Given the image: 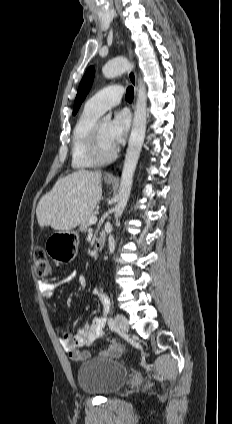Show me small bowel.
<instances>
[{"label":"small bowel","instance_id":"c3829d8e","mask_svg":"<svg viewBox=\"0 0 232 424\" xmlns=\"http://www.w3.org/2000/svg\"><path fill=\"white\" fill-rule=\"evenodd\" d=\"M77 272H71L65 279V282L72 281L76 278ZM39 290L44 298L49 299L53 295L54 285L51 282H39ZM95 295L100 299L101 304L106 308L109 304L108 296L100 289L94 290ZM105 319L100 316L95 318L92 322H82L78 331L73 334L69 331H64L61 338V345L64 351L75 362H81L89 358V352L84 350L94 344V342L103 337V329ZM121 352H117L112 345H108L107 349L103 352L104 355L116 356Z\"/></svg>","mask_w":232,"mask_h":424}]
</instances>
